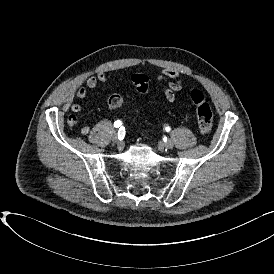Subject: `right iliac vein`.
<instances>
[{
  "label": "right iliac vein",
  "mask_w": 274,
  "mask_h": 274,
  "mask_svg": "<svg viewBox=\"0 0 274 274\" xmlns=\"http://www.w3.org/2000/svg\"><path fill=\"white\" fill-rule=\"evenodd\" d=\"M112 140L116 142L118 145L122 144V142L118 139V136L116 134L113 135Z\"/></svg>",
  "instance_id": "obj_1"
}]
</instances>
